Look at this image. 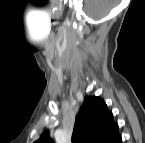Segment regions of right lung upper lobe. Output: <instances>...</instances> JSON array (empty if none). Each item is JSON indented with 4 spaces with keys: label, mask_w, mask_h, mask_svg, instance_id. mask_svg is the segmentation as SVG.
Masks as SVG:
<instances>
[{
    "label": "right lung upper lobe",
    "mask_w": 145,
    "mask_h": 143,
    "mask_svg": "<svg viewBox=\"0 0 145 143\" xmlns=\"http://www.w3.org/2000/svg\"><path fill=\"white\" fill-rule=\"evenodd\" d=\"M73 143H121L118 125L106 103L97 96H87L80 108L72 134ZM36 143H53L45 131Z\"/></svg>",
    "instance_id": "obj_1"
}]
</instances>
